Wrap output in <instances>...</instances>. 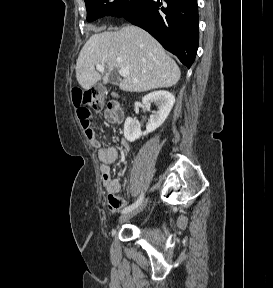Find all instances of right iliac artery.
<instances>
[{"label": "right iliac artery", "instance_id": "obj_1", "mask_svg": "<svg viewBox=\"0 0 273 288\" xmlns=\"http://www.w3.org/2000/svg\"><path fill=\"white\" fill-rule=\"evenodd\" d=\"M143 198H144V195H143V193H142V194L140 195V197L137 199V201L134 202L132 205L124 208L123 211H122V213L129 212V211L135 209L136 207H138V206L142 203Z\"/></svg>", "mask_w": 273, "mask_h": 288}]
</instances>
